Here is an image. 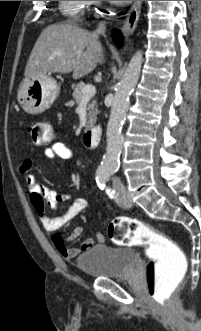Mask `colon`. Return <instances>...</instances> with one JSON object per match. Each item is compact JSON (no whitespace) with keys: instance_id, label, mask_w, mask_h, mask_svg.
Wrapping results in <instances>:
<instances>
[{"instance_id":"1","label":"colon","mask_w":201,"mask_h":331,"mask_svg":"<svg viewBox=\"0 0 201 331\" xmlns=\"http://www.w3.org/2000/svg\"><path fill=\"white\" fill-rule=\"evenodd\" d=\"M30 134L33 144L38 146L52 143L55 137L52 125L43 120L32 122ZM108 236L118 245L147 247L148 296L159 307L168 306L187 268L185 255L178 245L159 231L128 217L115 218L109 225Z\"/></svg>"}]
</instances>
